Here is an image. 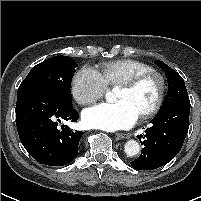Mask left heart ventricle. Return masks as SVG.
Returning a JSON list of instances; mask_svg holds the SVG:
<instances>
[{"mask_svg": "<svg viewBox=\"0 0 201 201\" xmlns=\"http://www.w3.org/2000/svg\"><path fill=\"white\" fill-rule=\"evenodd\" d=\"M157 93V80L148 78L132 89L118 87L115 91V100L127 102L140 116L154 104Z\"/></svg>", "mask_w": 201, "mask_h": 201, "instance_id": "left-heart-ventricle-1", "label": "left heart ventricle"}]
</instances>
